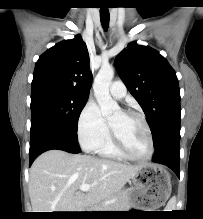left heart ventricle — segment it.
I'll list each match as a JSON object with an SVG mask.
<instances>
[{
    "label": "left heart ventricle",
    "mask_w": 203,
    "mask_h": 219,
    "mask_svg": "<svg viewBox=\"0 0 203 219\" xmlns=\"http://www.w3.org/2000/svg\"><path fill=\"white\" fill-rule=\"evenodd\" d=\"M110 124L133 156L139 158L147 156L149 152L148 136L138 117L119 110L110 118Z\"/></svg>",
    "instance_id": "obj_1"
}]
</instances>
